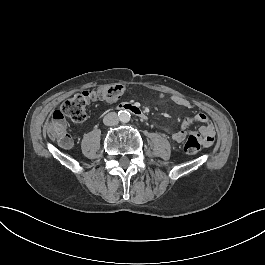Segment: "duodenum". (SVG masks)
<instances>
[{
	"label": "duodenum",
	"instance_id": "duodenum-1",
	"mask_svg": "<svg viewBox=\"0 0 265 265\" xmlns=\"http://www.w3.org/2000/svg\"><path fill=\"white\" fill-rule=\"evenodd\" d=\"M120 110H126L136 116H138L139 118L143 119V120H148V115L147 113L140 108L139 106L135 105V104H131V103H124L121 104L119 106Z\"/></svg>",
	"mask_w": 265,
	"mask_h": 265
}]
</instances>
